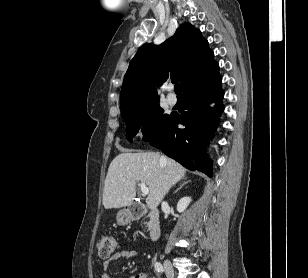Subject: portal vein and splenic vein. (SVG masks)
Segmentation results:
<instances>
[{
  "mask_svg": "<svg viewBox=\"0 0 308 278\" xmlns=\"http://www.w3.org/2000/svg\"><path fill=\"white\" fill-rule=\"evenodd\" d=\"M140 188H141V191H142V193H143L144 195L149 194V188L146 186L145 183L142 182V183L140 184Z\"/></svg>",
  "mask_w": 308,
  "mask_h": 278,
  "instance_id": "obj_1",
  "label": "portal vein and splenic vein"
}]
</instances>
